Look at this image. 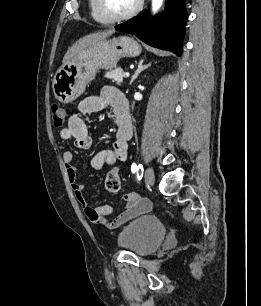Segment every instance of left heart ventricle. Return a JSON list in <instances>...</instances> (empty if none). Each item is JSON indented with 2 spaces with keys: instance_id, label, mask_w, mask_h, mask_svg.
Listing matches in <instances>:
<instances>
[{
  "instance_id": "b2bd125f",
  "label": "left heart ventricle",
  "mask_w": 261,
  "mask_h": 306,
  "mask_svg": "<svg viewBox=\"0 0 261 306\" xmlns=\"http://www.w3.org/2000/svg\"><path fill=\"white\" fill-rule=\"evenodd\" d=\"M138 0H107L110 9L115 14H125L129 12Z\"/></svg>"
}]
</instances>
